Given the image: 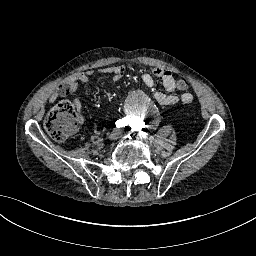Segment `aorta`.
Returning <instances> with one entry per match:
<instances>
[{
    "mask_svg": "<svg viewBox=\"0 0 256 256\" xmlns=\"http://www.w3.org/2000/svg\"><path fill=\"white\" fill-rule=\"evenodd\" d=\"M130 113L136 116L143 115L142 126L147 131H154L159 126L160 111L155 106H150L147 96L136 93L130 96L127 102Z\"/></svg>",
    "mask_w": 256,
    "mask_h": 256,
    "instance_id": "1",
    "label": "aorta"
}]
</instances>
